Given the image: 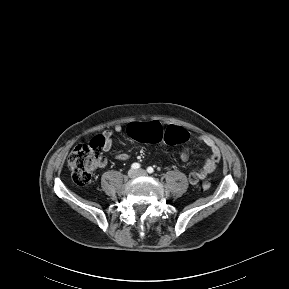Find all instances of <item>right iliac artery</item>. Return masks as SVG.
<instances>
[{"label":"right iliac artery","mask_w":289,"mask_h":289,"mask_svg":"<svg viewBox=\"0 0 289 289\" xmlns=\"http://www.w3.org/2000/svg\"><path fill=\"white\" fill-rule=\"evenodd\" d=\"M131 168H132V169H139V168H140V164H139V163H133V164L131 165Z\"/></svg>","instance_id":"obj_1"}]
</instances>
